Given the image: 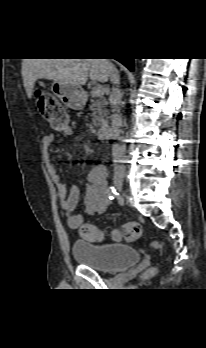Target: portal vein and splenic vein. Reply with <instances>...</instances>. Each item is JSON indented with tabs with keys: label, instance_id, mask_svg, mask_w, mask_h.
<instances>
[{
	"label": "portal vein and splenic vein",
	"instance_id": "1",
	"mask_svg": "<svg viewBox=\"0 0 206 348\" xmlns=\"http://www.w3.org/2000/svg\"><path fill=\"white\" fill-rule=\"evenodd\" d=\"M105 89L102 88L101 86H95L92 89V94L97 96V97H101L104 95Z\"/></svg>",
	"mask_w": 206,
	"mask_h": 348
}]
</instances>
